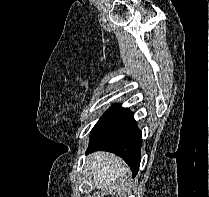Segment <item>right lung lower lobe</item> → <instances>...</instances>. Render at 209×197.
<instances>
[{"instance_id": "98d812e1", "label": "right lung lower lobe", "mask_w": 209, "mask_h": 197, "mask_svg": "<svg viewBox=\"0 0 209 197\" xmlns=\"http://www.w3.org/2000/svg\"><path fill=\"white\" fill-rule=\"evenodd\" d=\"M87 153L109 151L120 156L136 176L140 165L141 131L137 128L133 113L119 108L99 120L91 130Z\"/></svg>"}]
</instances>
